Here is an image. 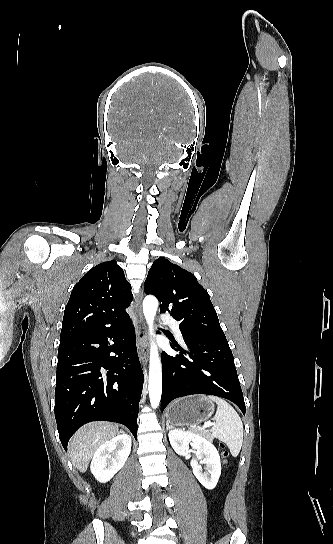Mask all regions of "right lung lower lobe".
Returning <instances> with one entry per match:
<instances>
[{"label": "right lung lower lobe", "mask_w": 333, "mask_h": 544, "mask_svg": "<svg viewBox=\"0 0 333 544\" xmlns=\"http://www.w3.org/2000/svg\"><path fill=\"white\" fill-rule=\"evenodd\" d=\"M143 382L129 315L116 325L60 341L55 418L65 450L71 436L92 421L121 423L136 438Z\"/></svg>", "instance_id": "right-lung-lower-lobe-1"}]
</instances>
